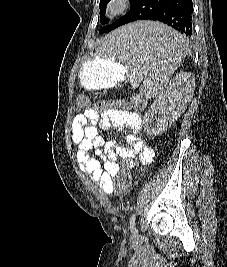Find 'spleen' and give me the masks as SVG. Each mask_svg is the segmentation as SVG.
Returning a JSON list of instances; mask_svg holds the SVG:
<instances>
[{
  "mask_svg": "<svg viewBox=\"0 0 227 267\" xmlns=\"http://www.w3.org/2000/svg\"><path fill=\"white\" fill-rule=\"evenodd\" d=\"M100 40L105 42H96V47H104L102 55H119L139 63L137 72L123 80L144 81L148 95H156L166 86L188 50L183 36L158 19H134Z\"/></svg>",
  "mask_w": 227,
  "mask_h": 267,
  "instance_id": "3e777b00",
  "label": "spleen"
}]
</instances>
